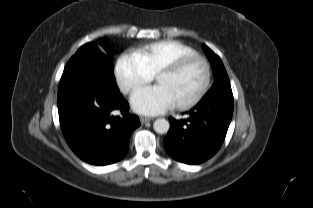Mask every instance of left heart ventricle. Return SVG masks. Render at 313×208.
Wrapping results in <instances>:
<instances>
[{"instance_id":"b2bd125f","label":"left heart ventricle","mask_w":313,"mask_h":208,"mask_svg":"<svg viewBox=\"0 0 313 208\" xmlns=\"http://www.w3.org/2000/svg\"><path fill=\"white\" fill-rule=\"evenodd\" d=\"M204 80V70L199 62H193L176 74L159 75L155 82L163 86L172 96L175 104L193 97Z\"/></svg>"}]
</instances>
